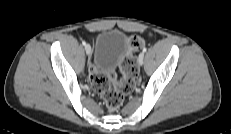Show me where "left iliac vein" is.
<instances>
[{"mask_svg": "<svg viewBox=\"0 0 231 134\" xmlns=\"http://www.w3.org/2000/svg\"><path fill=\"white\" fill-rule=\"evenodd\" d=\"M143 60H144V53L141 52L138 56V63L139 65H142L143 64Z\"/></svg>", "mask_w": 231, "mask_h": 134, "instance_id": "4c4485c4", "label": "left iliac vein"}]
</instances>
